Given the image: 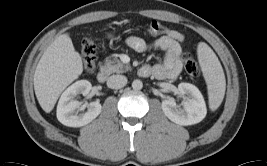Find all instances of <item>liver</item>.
<instances>
[{
    "label": "liver",
    "instance_id": "6515ba94",
    "mask_svg": "<svg viewBox=\"0 0 267 166\" xmlns=\"http://www.w3.org/2000/svg\"><path fill=\"white\" fill-rule=\"evenodd\" d=\"M83 71L80 54L69 35L57 37L45 50L34 73V90L41 108L50 113L60 94Z\"/></svg>",
    "mask_w": 267,
    "mask_h": 166
}]
</instances>
